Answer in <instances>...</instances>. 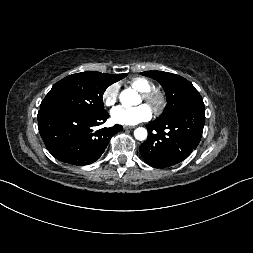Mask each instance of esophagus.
<instances>
[{
	"instance_id": "1",
	"label": "esophagus",
	"mask_w": 253,
	"mask_h": 253,
	"mask_svg": "<svg viewBox=\"0 0 253 253\" xmlns=\"http://www.w3.org/2000/svg\"><path fill=\"white\" fill-rule=\"evenodd\" d=\"M123 128L125 129V130H128V129H133V128H135L134 126H123Z\"/></svg>"
}]
</instances>
